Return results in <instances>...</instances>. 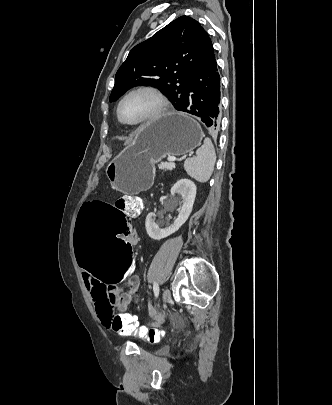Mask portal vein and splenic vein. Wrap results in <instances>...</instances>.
Wrapping results in <instances>:
<instances>
[{"instance_id":"obj_1","label":"portal vein and splenic vein","mask_w":332,"mask_h":405,"mask_svg":"<svg viewBox=\"0 0 332 405\" xmlns=\"http://www.w3.org/2000/svg\"><path fill=\"white\" fill-rule=\"evenodd\" d=\"M168 161L170 162V167L174 168V167H175L176 158H174V157H169V158H168Z\"/></svg>"}]
</instances>
